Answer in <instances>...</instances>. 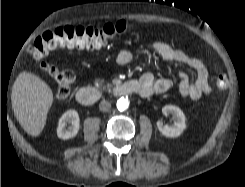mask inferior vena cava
<instances>
[{
    "instance_id": "602c4592",
    "label": "inferior vena cava",
    "mask_w": 245,
    "mask_h": 187,
    "mask_svg": "<svg viewBox=\"0 0 245 187\" xmlns=\"http://www.w3.org/2000/svg\"><path fill=\"white\" fill-rule=\"evenodd\" d=\"M110 108H111V103L106 100L101 101L99 104V109L102 112H107L110 110Z\"/></svg>"
}]
</instances>
